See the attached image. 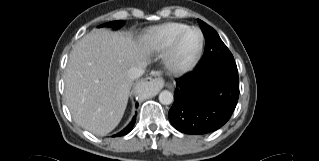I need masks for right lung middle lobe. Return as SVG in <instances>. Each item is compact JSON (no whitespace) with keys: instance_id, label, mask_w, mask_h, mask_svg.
I'll use <instances>...</instances> for the list:
<instances>
[{"instance_id":"obj_1","label":"right lung middle lobe","mask_w":319,"mask_h":161,"mask_svg":"<svg viewBox=\"0 0 319 161\" xmlns=\"http://www.w3.org/2000/svg\"><path fill=\"white\" fill-rule=\"evenodd\" d=\"M122 25H123V21L119 20V21H114V22H110V23L104 24L102 26H108V27L116 26L117 28H120Z\"/></svg>"}]
</instances>
